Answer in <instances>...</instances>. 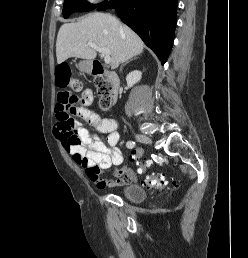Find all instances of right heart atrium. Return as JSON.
Returning <instances> with one entry per match:
<instances>
[{
	"label": "right heart atrium",
	"mask_w": 248,
	"mask_h": 258,
	"mask_svg": "<svg viewBox=\"0 0 248 258\" xmlns=\"http://www.w3.org/2000/svg\"><path fill=\"white\" fill-rule=\"evenodd\" d=\"M89 3H97V2H99V1H101V0H87Z\"/></svg>",
	"instance_id": "d8ad5b80"
}]
</instances>
